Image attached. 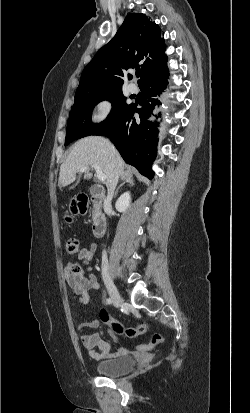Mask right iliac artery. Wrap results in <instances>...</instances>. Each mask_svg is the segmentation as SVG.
Instances as JSON below:
<instances>
[{
	"mask_svg": "<svg viewBox=\"0 0 250 413\" xmlns=\"http://www.w3.org/2000/svg\"><path fill=\"white\" fill-rule=\"evenodd\" d=\"M106 303H107L108 305H110V304L112 303V300H111L110 298H107V299H106Z\"/></svg>",
	"mask_w": 250,
	"mask_h": 413,
	"instance_id": "right-iliac-artery-1",
	"label": "right iliac artery"
}]
</instances>
